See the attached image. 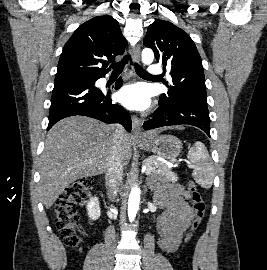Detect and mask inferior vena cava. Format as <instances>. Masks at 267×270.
I'll return each mask as SVG.
<instances>
[{"mask_svg": "<svg viewBox=\"0 0 267 270\" xmlns=\"http://www.w3.org/2000/svg\"><path fill=\"white\" fill-rule=\"evenodd\" d=\"M113 130V151L105 176L108 198L111 201L117 197L118 188L122 182L123 165L121 163L120 149L121 139L125 134V130L122 125H114Z\"/></svg>", "mask_w": 267, "mask_h": 270, "instance_id": "602c4592", "label": "inferior vena cava"}]
</instances>
